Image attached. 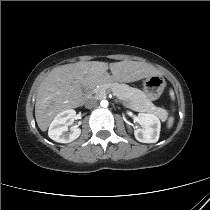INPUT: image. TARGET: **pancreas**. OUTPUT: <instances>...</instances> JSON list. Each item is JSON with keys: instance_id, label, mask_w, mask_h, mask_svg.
<instances>
[{"instance_id": "1", "label": "pancreas", "mask_w": 210, "mask_h": 210, "mask_svg": "<svg viewBox=\"0 0 210 210\" xmlns=\"http://www.w3.org/2000/svg\"><path fill=\"white\" fill-rule=\"evenodd\" d=\"M109 91L113 92V94L119 99L129 100V107L134 111L147 112L150 114L157 113V108L151 100L147 98L144 92L126 84H120L117 82L102 84L93 89V94L97 98H104Z\"/></svg>"}]
</instances>
